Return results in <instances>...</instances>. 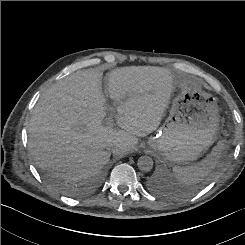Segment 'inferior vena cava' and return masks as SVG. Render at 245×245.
<instances>
[{
	"label": "inferior vena cava",
	"instance_id": "602c4592",
	"mask_svg": "<svg viewBox=\"0 0 245 245\" xmlns=\"http://www.w3.org/2000/svg\"><path fill=\"white\" fill-rule=\"evenodd\" d=\"M111 147H112L111 144H107V145H106V148H107V149H110Z\"/></svg>",
	"mask_w": 245,
	"mask_h": 245
}]
</instances>
